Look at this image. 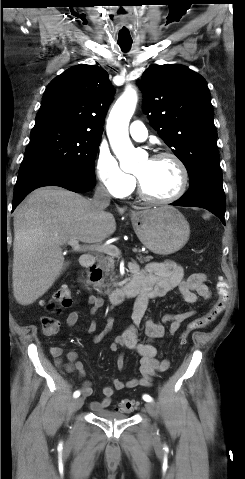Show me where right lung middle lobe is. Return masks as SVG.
<instances>
[{"label":"right lung middle lobe","mask_w":245,"mask_h":479,"mask_svg":"<svg viewBox=\"0 0 245 479\" xmlns=\"http://www.w3.org/2000/svg\"><path fill=\"white\" fill-rule=\"evenodd\" d=\"M101 136L57 126L33 128L19 174L55 167L96 179L94 163Z\"/></svg>","instance_id":"right-lung-middle-lobe-1"}]
</instances>
